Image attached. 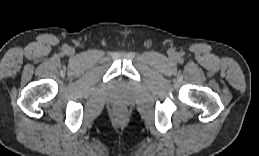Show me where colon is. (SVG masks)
Masks as SVG:
<instances>
[{
  "instance_id": "1",
  "label": "colon",
  "mask_w": 259,
  "mask_h": 156,
  "mask_svg": "<svg viewBox=\"0 0 259 156\" xmlns=\"http://www.w3.org/2000/svg\"><path fill=\"white\" fill-rule=\"evenodd\" d=\"M125 110L123 108H118L116 114L118 117L124 116Z\"/></svg>"
}]
</instances>
